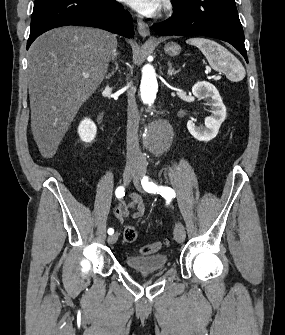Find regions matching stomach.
Listing matches in <instances>:
<instances>
[{"label":"stomach","instance_id":"stomach-1","mask_svg":"<svg viewBox=\"0 0 285 335\" xmlns=\"http://www.w3.org/2000/svg\"><path fill=\"white\" fill-rule=\"evenodd\" d=\"M166 54H169V56H178L181 52L180 46L178 44H174V42H170V44H165L164 48Z\"/></svg>","mask_w":285,"mask_h":335}]
</instances>
